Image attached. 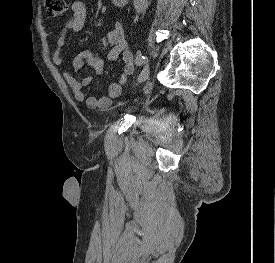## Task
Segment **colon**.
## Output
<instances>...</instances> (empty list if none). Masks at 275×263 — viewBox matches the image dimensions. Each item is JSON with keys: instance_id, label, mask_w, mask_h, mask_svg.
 <instances>
[{"instance_id": "1", "label": "colon", "mask_w": 275, "mask_h": 263, "mask_svg": "<svg viewBox=\"0 0 275 263\" xmlns=\"http://www.w3.org/2000/svg\"><path fill=\"white\" fill-rule=\"evenodd\" d=\"M69 0H44L46 12L54 17L61 16L68 10Z\"/></svg>"}]
</instances>
